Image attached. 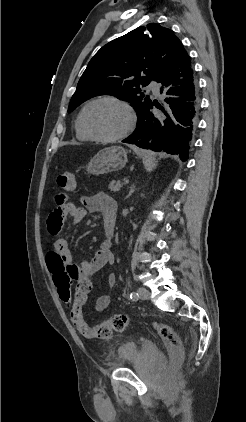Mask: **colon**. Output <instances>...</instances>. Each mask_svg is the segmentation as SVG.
Segmentation results:
<instances>
[{
    "label": "colon",
    "instance_id": "5ec220e1",
    "mask_svg": "<svg viewBox=\"0 0 246 422\" xmlns=\"http://www.w3.org/2000/svg\"><path fill=\"white\" fill-rule=\"evenodd\" d=\"M56 183L60 189L72 191L75 188V175L72 172L61 173L58 175ZM46 261L58 296L70 308L71 322L83 336L86 338L108 340L114 333L122 332L126 329L129 319L122 314H116L93 327L87 325L84 322L82 310L91 291V277L77 279L78 282L72 295L70 284L73 279V273L64 258L55 250H50L46 256ZM154 327L161 341L168 349L171 358L175 362L181 361L183 359V348L176 332L171 327L162 323H155Z\"/></svg>",
    "mask_w": 246,
    "mask_h": 422
}]
</instances>
